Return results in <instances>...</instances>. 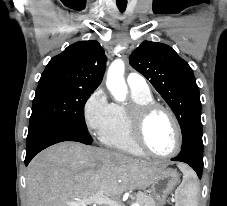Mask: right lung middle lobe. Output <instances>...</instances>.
Listing matches in <instances>:
<instances>
[{
    "label": "right lung middle lobe",
    "instance_id": "right-lung-middle-lobe-1",
    "mask_svg": "<svg viewBox=\"0 0 227 206\" xmlns=\"http://www.w3.org/2000/svg\"><path fill=\"white\" fill-rule=\"evenodd\" d=\"M92 92L61 85H38L28 134L45 126H59L75 130L93 141L82 121L83 106Z\"/></svg>",
    "mask_w": 227,
    "mask_h": 206
}]
</instances>
